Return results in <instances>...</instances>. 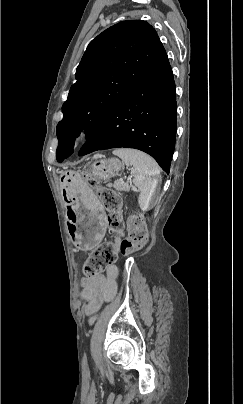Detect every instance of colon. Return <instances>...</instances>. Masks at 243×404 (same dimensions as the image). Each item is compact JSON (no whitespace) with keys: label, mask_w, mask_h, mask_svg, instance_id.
<instances>
[{"label":"colon","mask_w":243,"mask_h":404,"mask_svg":"<svg viewBox=\"0 0 243 404\" xmlns=\"http://www.w3.org/2000/svg\"><path fill=\"white\" fill-rule=\"evenodd\" d=\"M89 183L96 189L97 196L107 212V223L110 231L121 236L125 224L120 210V199L117 193L108 187L98 185L90 175ZM147 241V228L145 222L139 217H133L128 223L127 235L119 243L104 242L99 245L88 257L84 265L86 277H95L104 267L112 264L117 254L128 255L140 250Z\"/></svg>","instance_id":"1"}]
</instances>
